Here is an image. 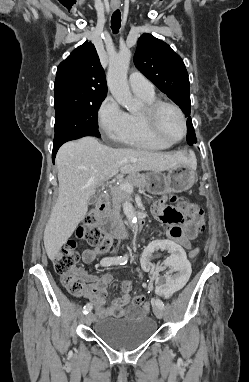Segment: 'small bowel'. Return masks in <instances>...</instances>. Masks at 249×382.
Segmentation results:
<instances>
[{"label": "small bowel", "mask_w": 249, "mask_h": 382, "mask_svg": "<svg viewBox=\"0 0 249 382\" xmlns=\"http://www.w3.org/2000/svg\"><path fill=\"white\" fill-rule=\"evenodd\" d=\"M171 200L177 201L178 198L174 196ZM165 202L166 199H161L152 204L153 215L157 220L169 225L167 231L168 240L178 241V245H182V250L190 248L191 241L199 234V223L192 217L183 214L180 210L167 206ZM166 212H169V216L166 215ZM112 244L113 239L105 237L97 247L83 251L82 261L86 264H92L95 258L108 251ZM76 273L86 282L84 296L94 305L95 315L98 318L142 317L148 312L149 309L136 305L128 307L132 281H123L121 284L122 295L114 298L110 307L105 308L107 288L113 279L112 274L106 273L98 276L81 268L76 269ZM144 286L151 287L152 283L149 281L144 283Z\"/></svg>", "instance_id": "small-bowel-1"}]
</instances>
